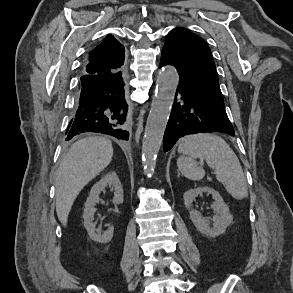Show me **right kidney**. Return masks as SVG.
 Masks as SVG:
<instances>
[{
  "instance_id": "obj_1",
  "label": "right kidney",
  "mask_w": 293,
  "mask_h": 293,
  "mask_svg": "<svg viewBox=\"0 0 293 293\" xmlns=\"http://www.w3.org/2000/svg\"><path fill=\"white\" fill-rule=\"evenodd\" d=\"M113 187L114 197L113 204L118 205L123 203V188L121 182L115 172L106 174L101 178L99 182L94 184L90 194L85 203V209L83 213L84 227L88 232L89 237L96 242L108 243L113 237L114 227L110 226L107 231L101 232L96 229V225L93 222L94 213L96 212L95 205L99 202V195L106 187Z\"/></svg>"
}]
</instances>
